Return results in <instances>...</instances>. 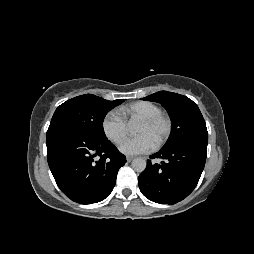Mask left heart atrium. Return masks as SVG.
I'll list each match as a JSON object with an SVG mask.
<instances>
[{
	"label": "left heart atrium",
	"instance_id": "39dd6f15",
	"mask_svg": "<svg viewBox=\"0 0 254 254\" xmlns=\"http://www.w3.org/2000/svg\"><path fill=\"white\" fill-rule=\"evenodd\" d=\"M155 147L153 140L147 135H138L126 139L120 146V151L126 155H139L150 152Z\"/></svg>",
	"mask_w": 254,
	"mask_h": 254
}]
</instances>
